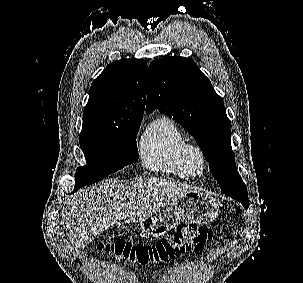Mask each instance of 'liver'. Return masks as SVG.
Returning a JSON list of instances; mask_svg holds the SVG:
<instances>
[{
  "instance_id": "obj_1",
  "label": "liver",
  "mask_w": 303,
  "mask_h": 283,
  "mask_svg": "<svg viewBox=\"0 0 303 283\" xmlns=\"http://www.w3.org/2000/svg\"><path fill=\"white\" fill-rule=\"evenodd\" d=\"M197 191L176 180L150 178L135 182L105 180L81 189L63 209L71 249L80 251L104 231L151 216L178 196Z\"/></svg>"
}]
</instances>
